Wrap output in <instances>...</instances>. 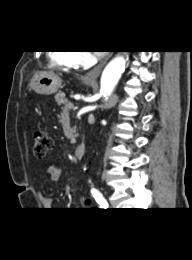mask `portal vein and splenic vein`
Instances as JSON below:
<instances>
[{"instance_id": "18ae733b", "label": "portal vein and splenic vein", "mask_w": 192, "mask_h": 260, "mask_svg": "<svg viewBox=\"0 0 192 260\" xmlns=\"http://www.w3.org/2000/svg\"><path fill=\"white\" fill-rule=\"evenodd\" d=\"M74 107V104L71 103V102H68L66 105H65V109H72Z\"/></svg>"}]
</instances>
